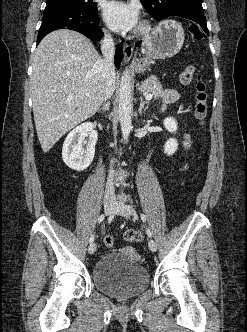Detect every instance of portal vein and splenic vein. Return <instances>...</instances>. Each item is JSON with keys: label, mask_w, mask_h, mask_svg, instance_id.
Masks as SVG:
<instances>
[{"label": "portal vein and splenic vein", "mask_w": 247, "mask_h": 332, "mask_svg": "<svg viewBox=\"0 0 247 332\" xmlns=\"http://www.w3.org/2000/svg\"><path fill=\"white\" fill-rule=\"evenodd\" d=\"M87 96H89V94H87ZM152 97H153L152 94H146V95H145V99L148 100V101L151 100Z\"/></svg>", "instance_id": "18ae733b"}]
</instances>
